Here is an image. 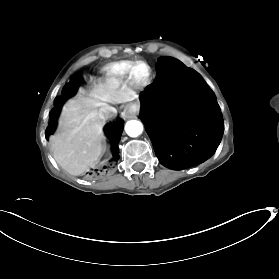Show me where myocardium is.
Wrapping results in <instances>:
<instances>
[{
  "label": "myocardium",
  "instance_id": "f54148a6",
  "mask_svg": "<svg viewBox=\"0 0 279 279\" xmlns=\"http://www.w3.org/2000/svg\"><path fill=\"white\" fill-rule=\"evenodd\" d=\"M138 65H144L147 68V75L144 78H138L135 75V69ZM153 71L151 66L144 60L133 61L128 71V80L136 88H144L148 86L152 80Z\"/></svg>",
  "mask_w": 279,
  "mask_h": 279
}]
</instances>
